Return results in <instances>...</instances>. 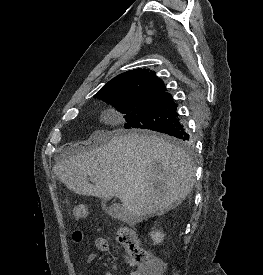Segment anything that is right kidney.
I'll use <instances>...</instances> for the list:
<instances>
[{"mask_svg": "<svg viewBox=\"0 0 263 275\" xmlns=\"http://www.w3.org/2000/svg\"><path fill=\"white\" fill-rule=\"evenodd\" d=\"M150 236L154 241V244H160L161 242H163L165 234H163L160 230H156L152 231L150 233Z\"/></svg>", "mask_w": 263, "mask_h": 275, "instance_id": "right-kidney-1", "label": "right kidney"}]
</instances>
